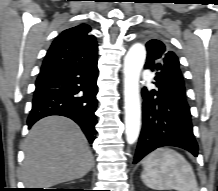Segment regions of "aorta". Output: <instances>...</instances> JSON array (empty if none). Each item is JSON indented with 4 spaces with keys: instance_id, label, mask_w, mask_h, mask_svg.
I'll return each mask as SVG.
<instances>
[{
    "instance_id": "762f6f07",
    "label": "aorta",
    "mask_w": 218,
    "mask_h": 191,
    "mask_svg": "<svg viewBox=\"0 0 218 191\" xmlns=\"http://www.w3.org/2000/svg\"><path fill=\"white\" fill-rule=\"evenodd\" d=\"M146 59V49L134 44L124 58V111L125 134L129 144L138 139L141 127V102L139 95L140 73Z\"/></svg>"
}]
</instances>
